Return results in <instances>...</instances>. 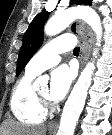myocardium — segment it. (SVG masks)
Masks as SVG:
<instances>
[{
	"mask_svg": "<svg viewBox=\"0 0 112 135\" xmlns=\"http://www.w3.org/2000/svg\"><path fill=\"white\" fill-rule=\"evenodd\" d=\"M36 92V91H35ZM36 97L39 101L40 106L45 110V111H52L55 106L54 104L46 97H43L40 95L38 92H36Z\"/></svg>",
	"mask_w": 112,
	"mask_h": 135,
	"instance_id": "f54148a6",
	"label": "myocardium"
}]
</instances>
